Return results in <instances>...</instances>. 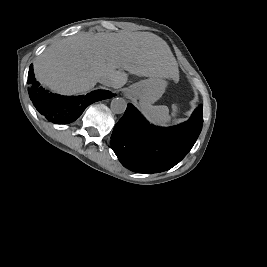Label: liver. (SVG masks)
Returning <instances> with one entry per match:
<instances>
[{
	"instance_id": "liver-1",
	"label": "liver",
	"mask_w": 267,
	"mask_h": 267,
	"mask_svg": "<svg viewBox=\"0 0 267 267\" xmlns=\"http://www.w3.org/2000/svg\"><path fill=\"white\" fill-rule=\"evenodd\" d=\"M124 70L174 80L179 73L168 44L151 32H80L48 46L34 63L36 79L62 95L88 91L103 76L121 88L128 80Z\"/></svg>"
}]
</instances>
